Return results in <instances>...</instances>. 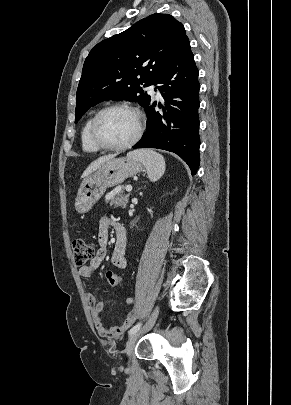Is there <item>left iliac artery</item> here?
<instances>
[{"label":"left iliac artery","mask_w":291,"mask_h":405,"mask_svg":"<svg viewBox=\"0 0 291 405\" xmlns=\"http://www.w3.org/2000/svg\"><path fill=\"white\" fill-rule=\"evenodd\" d=\"M141 325H142L141 323H138L135 326H133L129 331V335H132L135 332H137L140 329Z\"/></svg>","instance_id":"1"}]
</instances>
